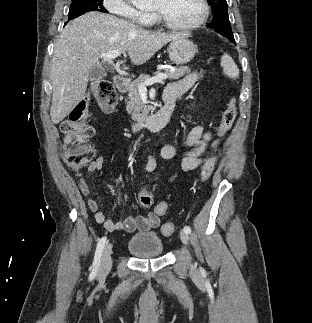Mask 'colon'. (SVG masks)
Returning <instances> with one entry per match:
<instances>
[{"mask_svg": "<svg viewBox=\"0 0 312 323\" xmlns=\"http://www.w3.org/2000/svg\"><path fill=\"white\" fill-rule=\"evenodd\" d=\"M94 93L97 104L104 110L114 108L118 102L117 93L112 81L107 77L98 78L94 83ZM237 114L236 99L230 97L227 101L221 123L217 129V139H222L232 128ZM64 137L63 146L65 148L66 162L71 168H81L91 162L95 157V148L91 143L94 134L93 129L85 123L73 119H66L61 127ZM216 156L209 157L200 172L202 181L210 178L214 171ZM141 205H150L152 197L148 193H143L139 197ZM165 202H156L155 213H164ZM175 224L173 222L164 223L161 226V232L165 235L173 234Z\"/></svg>", "mask_w": 312, "mask_h": 323, "instance_id": "colon-1", "label": "colon"}]
</instances>
